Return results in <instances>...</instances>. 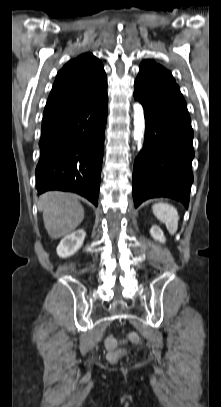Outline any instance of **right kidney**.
<instances>
[{"label": "right kidney", "instance_id": "ca27d5eb", "mask_svg": "<svg viewBox=\"0 0 221 407\" xmlns=\"http://www.w3.org/2000/svg\"><path fill=\"white\" fill-rule=\"evenodd\" d=\"M86 232L82 229L66 235L57 246V254L62 258L73 255L78 251L85 239Z\"/></svg>", "mask_w": 221, "mask_h": 407}]
</instances>
